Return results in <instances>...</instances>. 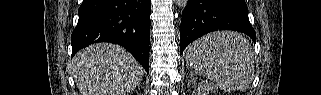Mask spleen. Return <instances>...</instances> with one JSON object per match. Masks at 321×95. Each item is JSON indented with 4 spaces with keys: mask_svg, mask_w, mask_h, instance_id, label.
<instances>
[{
    "mask_svg": "<svg viewBox=\"0 0 321 95\" xmlns=\"http://www.w3.org/2000/svg\"><path fill=\"white\" fill-rule=\"evenodd\" d=\"M186 62L228 91L246 89L254 77L251 44L238 32H214L195 40L188 47Z\"/></svg>",
    "mask_w": 321,
    "mask_h": 95,
    "instance_id": "obj_1",
    "label": "spleen"
}]
</instances>
